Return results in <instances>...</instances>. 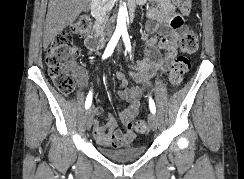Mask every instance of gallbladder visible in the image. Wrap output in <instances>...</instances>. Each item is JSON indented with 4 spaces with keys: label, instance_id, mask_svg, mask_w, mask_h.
<instances>
[{
    "label": "gallbladder",
    "instance_id": "gallbladder-1",
    "mask_svg": "<svg viewBox=\"0 0 244 179\" xmlns=\"http://www.w3.org/2000/svg\"><path fill=\"white\" fill-rule=\"evenodd\" d=\"M88 10H89V4H87V6H85L84 12H88Z\"/></svg>",
    "mask_w": 244,
    "mask_h": 179
}]
</instances>
